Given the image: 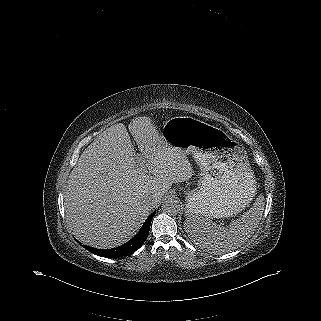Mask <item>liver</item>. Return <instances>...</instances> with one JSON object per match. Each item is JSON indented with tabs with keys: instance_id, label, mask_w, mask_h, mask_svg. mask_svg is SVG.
I'll return each mask as SVG.
<instances>
[{
	"instance_id": "6515ba94",
	"label": "liver",
	"mask_w": 321,
	"mask_h": 321,
	"mask_svg": "<svg viewBox=\"0 0 321 321\" xmlns=\"http://www.w3.org/2000/svg\"><path fill=\"white\" fill-rule=\"evenodd\" d=\"M103 131L80 155L64 194L69 228L87 245L108 249L131 239L173 183L192 177L185 155L171 147L149 117ZM143 162L145 167L141 168ZM151 197L153 204L146 200Z\"/></svg>"
}]
</instances>
